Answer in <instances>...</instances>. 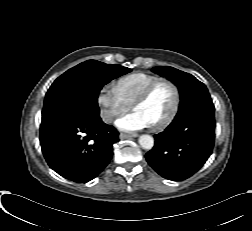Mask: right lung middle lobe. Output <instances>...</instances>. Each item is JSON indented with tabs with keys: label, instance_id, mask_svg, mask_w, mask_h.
Wrapping results in <instances>:
<instances>
[{
	"label": "right lung middle lobe",
	"instance_id": "dd1d6c3e",
	"mask_svg": "<svg viewBox=\"0 0 252 231\" xmlns=\"http://www.w3.org/2000/svg\"><path fill=\"white\" fill-rule=\"evenodd\" d=\"M131 69L85 61L58 77L46 93L42 118L59 110L70 109L99 114L97 98L102 87Z\"/></svg>",
	"mask_w": 252,
	"mask_h": 231
}]
</instances>
